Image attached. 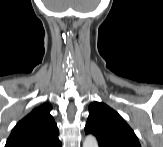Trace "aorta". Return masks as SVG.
<instances>
[{
    "label": "aorta",
    "instance_id": "aorta-1",
    "mask_svg": "<svg viewBox=\"0 0 163 147\" xmlns=\"http://www.w3.org/2000/svg\"><path fill=\"white\" fill-rule=\"evenodd\" d=\"M83 147H98V142L94 136L88 135L83 142Z\"/></svg>",
    "mask_w": 163,
    "mask_h": 147
}]
</instances>
